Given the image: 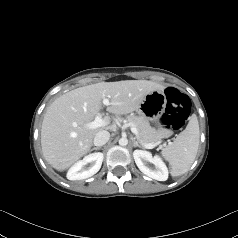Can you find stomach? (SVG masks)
Masks as SVG:
<instances>
[{"label": "stomach", "instance_id": "1", "mask_svg": "<svg viewBox=\"0 0 238 238\" xmlns=\"http://www.w3.org/2000/svg\"><path fill=\"white\" fill-rule=\"evenodd\" d=\"M167 99L164 91L155 90L145 96L138 113L150 121H157L165 112Z\"/></svg>", "mask_w": 238, "mask_h": 238}]
</instances>
